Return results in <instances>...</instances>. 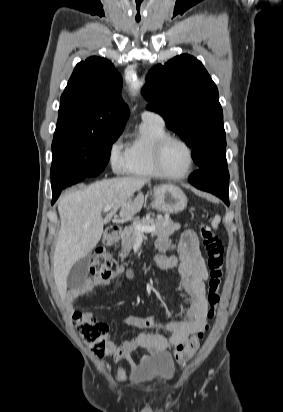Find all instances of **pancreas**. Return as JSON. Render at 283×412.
Masks as SVG:
<instances>
[{
	"instance_id": "cf45deb5",
	"label": "pancreas",
	"mask_w": 283,
	"mask_h": 412,
	"mask_svg": "<svg viewBox=\"0 0 283 412\" xmlns=\"http://www.w3.org/2000/svg\"><path fill=\"white\" fill-rule=\"evenodd\" d=\"M137 224L155 226L156 230L153 232V235L158 237H168L180 229V224L174 223L169 217H160L157 219L144 218L135 221L133 225L125 227L121 234L122 252L119 255L122 259L128 256V253L137 240L138 231L135 229V225Z\"/></svg>"
}]
</instances>
